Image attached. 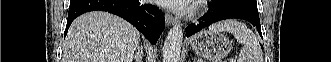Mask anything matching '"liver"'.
Masks as SVG:
<instances>
[{"instance_id":"1","label":"liver","mask_w":331,"mask_h":62,"mask_svg":"<svg viewBox=\"0 0 331 62\" xmlns=\"http://www.w3.org/2000/svg\"><path fill=\"white\" fill-rule=\"evenodd\" d=\"M139 41L140 33L122 18L89 12L71 24L62 62H132Z\"/></svg>"}]
</instances>
